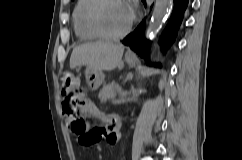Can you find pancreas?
I'll use <instances>...</instances> for the list:
<instances>
[{
    "instance_id": "pancreas-1",
    "label": "pancreas",
    "mask_w": 242,
    "mask_h": 160,
    "mask_svg": "<svg viewBox=\"0 0 242 160\" xmlns=\"http://www.w3.org/2000/svg\"><path fill=\"white\" fill-rule=\"evenodd\" d=\"M120 93H122V89L119 84L112 82L103 86L98 97L101 102H106L107 100H114L116 95Z\"/></svg>"
}]
</instances>
